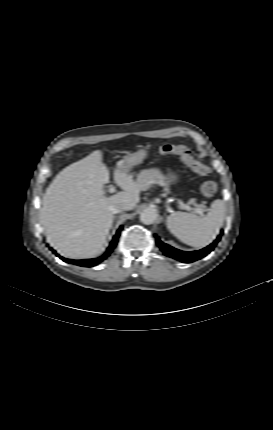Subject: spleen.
<instances>
[{
	"label": "spleen",
	"mask_w": 273,
	"mask_h": 430,
	"mask_svg": "<svg viewBox=\"0 0 273 430\" xmlns=\"http://www.w3.org/2000/svg\"><path fill=\"white\" fill-rule=\"evenodd\" d=\"M223 212L224 203L217 199L205 216L177 211L167 217L166 224L168 230L181 242L202 248L211 243L219 233Z\"/></svg>",
	"instance_id": "1"
}]
</instances>
